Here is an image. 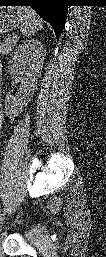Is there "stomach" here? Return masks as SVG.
<instances>
[{"instance_id":"obj_1","label":"stomach","mask_w":106,"mask_h":257,"mask_svg":"<svg viewBox=\"0 0 106 257\" xmlns=\"http://www.w3.org/2000/svg\"><path fill=\"white\" fill-rule=\"evenodd\" d=\"M21 22L16 7H0V33L6 34Z\"/></svg>"}]
</instances>
